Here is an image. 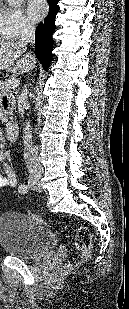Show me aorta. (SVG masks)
<instances>
[{
	"instance_id": "1",
	"label": "aorta",
	"mask_w": 129,
	"mask_h": 309,
	"mask_svg": "<svg viewBox=\"0 0 129 309\" xmlns=\"http://www.w3.org/2000/svg\"><path fill=\"white\" fill-rule=\"evenodd\" d=\"M10 6H15L21 2V0H7ZM24 144L27 149H30L32 146V127L30 124V120L26 122L24 128V135H23Z\"/></svg>"
}]
</instances>
